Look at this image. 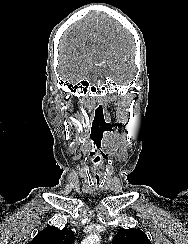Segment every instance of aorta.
<instances>
[{
	"label": "aorta",
	"instance_id": "1",
	"mask_svg": "<svg viewBox=\"0 0 188 244\" xmlns=\"http://www.w3.org/2000/svg\"><path fill=\"white\" fill-rule=\"evenodd\" d=\"M100 237L98 233H93L87 236L81 244H99Z\"/></svg>",
	"mask_w": 188,
	"mask_h": 244
}]
</instances>
